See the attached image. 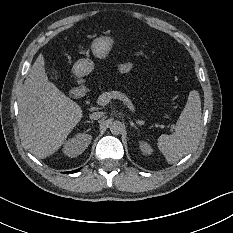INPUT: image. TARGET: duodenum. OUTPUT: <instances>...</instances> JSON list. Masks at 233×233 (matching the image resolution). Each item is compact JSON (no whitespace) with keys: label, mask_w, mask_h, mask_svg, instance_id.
Here are the masks:
<instances>
[{"label":"duodenum","mask_w":233,"mask_h":233,"mask_svg":"<svg viewBox=\"0 0 233 233\" xmlns=\"http://www.w3.org/2000/svg\"><path fill=\"white\" fill-rule=\"evenodd\" d=\"M87 93V87L83 80H80L76 87L70 91V97L73 99H78L85 96Z\"/></svg>","instance_id":"410a0bca"}]
</instances>
